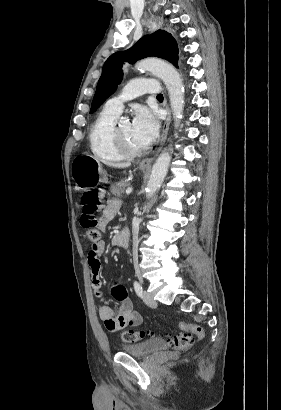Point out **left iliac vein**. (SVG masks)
Listing matches in <instances>:
<instances>
[{
  "label": "left iliac vein",
  "mask_w": 281,
  "mask_h": 410,
  "mask_svg": "<svg viewBox=\"0 0 281 410\" xmlns=\"http://www.w3.org/2000/svg\"><path fill=\"white\" fill-rule=\"evenodd\" d=\"M142 299H143L144 303L146 305L150 306V307H155L157 305V303L153 299V297L147 292H143Z\"/></svg>",
  "instance_id": "obj_1"
}]
</instances>
